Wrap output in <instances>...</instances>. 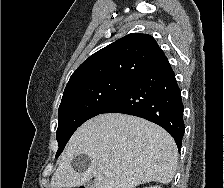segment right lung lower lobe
Returning <instances> with one entry per match:
<instances>
[{
    "instance_id": "obj_1",
    "label": "right lung lower lobe",
    "mask_w": 224,
    "mask_h": 188,
    "mask_svg": "<svg viewBox=\"0 0 224 188\" xmlns=\"http://www.w3.org/2000/svg\"><path fill=\"white\" fill-rule=\"evenodd\" d=\"M183 103L168 59L148 68L106 106L102 113H123L147 119L163 127L181 149L185 131Z\"/></svg>"
}]
</instances>
